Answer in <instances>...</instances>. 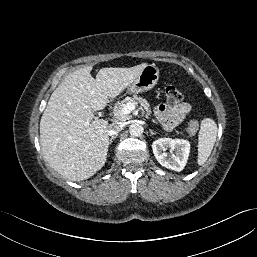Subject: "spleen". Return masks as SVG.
I'll use <instances>...</instances> for the list:
<instances>
[{"instance_id": "3e777b00", "label": "spleen", "mask_w": 257, "mask_h": 257, "mask_svg": "<svg viewBox=\"0 0 257 257\" xmlns=\"http://www.w3.org/2000/svg\"><path fill=\"white\" fill-rule=\"evenodd\" d=\"M217 124L211 118L201 121L198 134V165H203L210 156L217 136Z\"/></svg>"}]
</instances>
